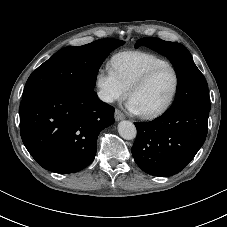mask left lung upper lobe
<instances>
[{
  "mask_svg": "<svg viewBox=\"0 0 227 227\" xmlns=\"http://www.w3.org/2000/svg\"><path fill=\"white\" fill-rule=\"evenodd\" d=\"M139 46H147L169 58L178 74L176 98L167 112L182 108L210 110L207 82L186 47L155 37L139 39L135 47Z\"/></svg>",
  "mask_w": 227,
  "mask_h": 227,
  "instance_id": "obj_1",
  "label": "left lung upper lobe"
}]
</instances>
